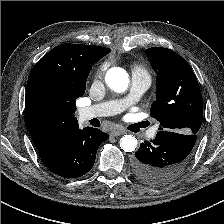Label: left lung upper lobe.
I'll list each match as a JSON object with an SVG mask.
<instances>
[{
    "instance_id": "obj_1",
    "label": "left lung upper lobe",
    "mask_w": 224,
    "mask_h": 224,
    "mask_svg": "<svg viewBox=\"0 0 224 224\" xmlns=\"http://www.w3.org/2000/svg\"><path fill=\"white\" fill-rule=\"evenodd\" d=\"M147 56L157 73L151 116L160 122L159 130L197 134L203 121L202 95L190 65L167 48H149Z\"/></svg>"
}]
</instances>
